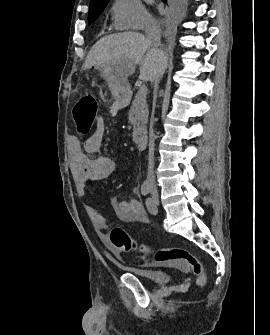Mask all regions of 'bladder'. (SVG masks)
Masks as SVG:
<instances>
[{"label":"bladder","mask_w":270,"mask_h":335,"mask_svg":"<svg viewBox=\"0 0 270 335\" xmlns=\"http://www.w3.org/2000/svg\"><path fill=\"white\" fill-rule=\"evenodd\" d=\"M131 273L139 274L145 282L164 285L170 280V273L166 270L154 271H130Z\"/></svg>","instance_id":"obj_1"}]
</instances>
